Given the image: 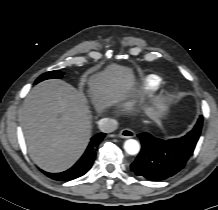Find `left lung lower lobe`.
<instances>
[{
    "mask_svg": "<svg viewBox=\"0 0 218 210\" xmlns=\"http://www.w3.org/2000/svg\"><path fill=\"white\" fill-rule=\"evenodd\" d=\"M202 126H195L187 135L169 140H161L149 133L138 137L142 149L131 170L149 180H164L179 172L193 154Z\"/></svg>",
    "mask_w": 218,
    "mask_h": 210,
    "instance_id": "0a47b994",
    "label": "left lung lower lobe"
}]
</instances>
